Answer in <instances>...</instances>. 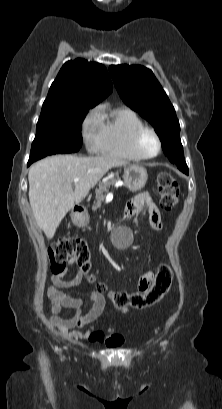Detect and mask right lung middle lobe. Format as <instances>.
Listing matches in <instances>:
<instances>
[{
	"instance_id": "dd1d6c3e",
	"label": "right lung middle lobe",
	"mask_w": 222,
	"mask_h": 409,
	"mask_svg": "<svg viewBox=\"0 0 222 409\" xmlns=\"http://www.w3.org/2000/svg\"><path fill=\"white\" fill-rule=\"evenodd\" d=\"M93 106H64L41 111L28 163L52 154L77 152L82 146L81 125Z\"/></svg>"
}]
</instances>
